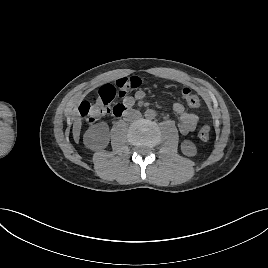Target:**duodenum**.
Returning <instances> with one entry per match:
<instances>
[{"label":"duodenum","mask_w":268,"mask_h":268,"mask_svg":"<svg viewBox=\"0 0 268 268\" xmlns=\"http://www.w3.org/2000/svg\"><path fill=\"white\" fill-rule=\"evenodd\" d=\"M130 111V107L126 105H118L112 109V114L115 117H121Z\"/></svg>","instance_id":"duodenum-1"}]
</instances>
